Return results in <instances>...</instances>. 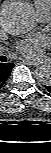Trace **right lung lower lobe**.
Returning <instances> with one entry per match:
<instances>
[{"label": "right lung lower lobe", "instance_id": "98d812e1", "mask_svg": "<svg viewBox=\"0 0 51 153\" xmlns=\"http://www.w3.org/2000/svg\"><path fill=\"white\" fill-rule=\"evenodd\" d=\"M15 65L13 63H0V88L4 85L6 80L11 74L12 68Z\"/></svg>", "mask_w": 51, "mask_h": 153}]
</instances>
